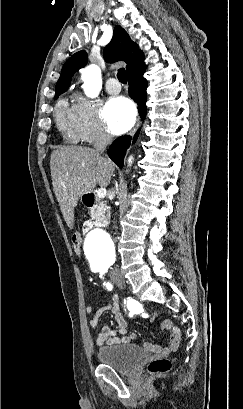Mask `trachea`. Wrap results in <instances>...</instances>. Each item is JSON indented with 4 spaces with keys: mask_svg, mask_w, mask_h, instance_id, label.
Returning <instances> with one entry per match:
<instances>
[{
    "mask_svg": "<svg viewBox=\"0 0 243 409\" xmlns=\"http://www.w3.org/2000/svg\"><path fill=\"white\" fill-rule=\"evenodd\" d=\"M117 78L123 84L127 82L126 71L124 68L118 70Z\"/></svg>",
    "mask_w": 243,
    "mask_h": 409,
    "instance_id": "obj_1",
    "label": "trachea"
}]
</instances>
